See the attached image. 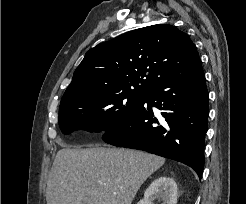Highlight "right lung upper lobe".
<instances>
[{
	"instance_id": "right-lung-upper-lobe-1",
	"label": "right lung upper lobe",
	"mask_w": 246,
	"mask_h": 204,
	"mask_svg": "<svg viewBox=\"0 0 246 204\" xmlns=\"http://www.w3.org/2000/svg\"><path fill=\"white\" fill-rule=\"evenodd\" d=\"M198 59L193 42L172 25L157 24L127 32L86 53L60 107L94 96L144 93Z\"/></svg>"
}]
</instances>
